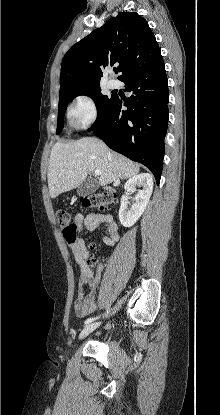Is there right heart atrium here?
<instances>
[{"instance_id": "right-heart-atrium-1", "label": "right heart atrium", "mask_w": 220, "mask_h": 415, "mask_svg": "<svg viewBox=\"0 0 220 415\" xmlns=\"http://www.w3.org/2000/svg\"><path fill=\"white\" fill-rule=\"evenodd\" d=\"M68 117L75 128L84 129L91 126L98 118L95 99L87 94L78 96L69 108Z\"/></svg>"}]
</instances>
